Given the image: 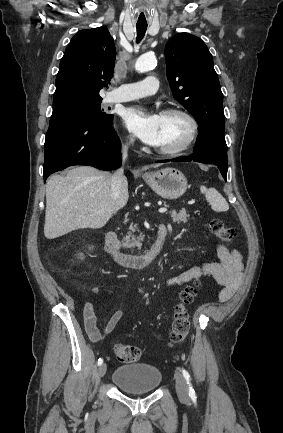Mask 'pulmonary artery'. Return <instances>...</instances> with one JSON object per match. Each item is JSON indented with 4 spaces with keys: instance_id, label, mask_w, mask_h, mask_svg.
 Wrapping results in <instances>:
<instances>
[{
    "instance_id": "1",
    "label": "pulmonary artery",
    "mask_w": 283,
    "mask_h": 433,
    "mask_svg": "<svg viewBox=\"0 0 283 433\" xmlns=\"http://www.w3.org/2000/svg\"><path fill=\"white\" fill-rule=\"evenodd\" d=\"M157 88L156 78L149 76L138 82L123 83L122 88H118L117 93L107 96V101L108 103H116L147 97L156 93Z\"/></svg>"
}]
</instances>
